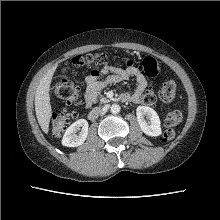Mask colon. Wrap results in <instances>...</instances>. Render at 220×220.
I'll return each instance as SVG.
<instances>
[{
	"instance_id": "obj_1",
	"label": "colon",
	"mask_w": 220,
	"mask_h": 220,
	"mask_svg": "<svg viewBox=\"0 0 220 220\" xmlns=\"http://www.w3.org/2000/svg\"><path fill=\"white\" fill-rule=\"evenodd\" d=\"M119 57L116 53H104V54H90L86 56L75 57L72 61L73 65L80 68H97L102 65L112 66L116 65ZM142 72L149 76L155 77L161 72V66L153 57H145L141 63ZM53 97L68 105L80 104V89L74 83L67 79L57 81L51 89ZM177 93V85L174 80L165 81L160 90L159 98L165 103H169L174 100ZM143 103L146 105H153L156 101V97L152 93H147L143 96ZM77 113L72 111H61L52 115V130L54 134L58 135L62 133L65 127L75 118ZM183 115L179 110L170 111L167 113L164 123L166 130L163 132L162 137L164 141H169L174 138L176 127L182 121Z\"/></svg>"
}]
</instances>
